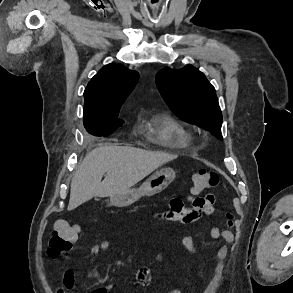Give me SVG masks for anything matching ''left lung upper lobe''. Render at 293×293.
<instances>
[{
  "label": "left lung upper lobe",
  "mask_w": 293,
  "mask_h": 293,
  "mask_svg": "<svg viewBox=\"0 0 293 293\" xmlns=\"http://www.w3.org/2000/svg\"><path fill=\"white\" fill-rule=\"evenodd\" d=\"M155 82L165 102L178 117L223 139L222 114L215 88L202 72L191 65L180 70L164 68L157 73Z\"/></svg>",
  "instance_id": "left-lung-upper-lobe-1"
}]
</instances>
